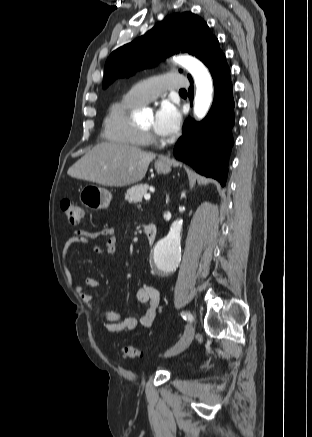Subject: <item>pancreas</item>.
Wrapping results in <instances>:
<instances>
[{
    "label": "pancreas",
    "instance_id": "1",
    "mask_svg": "<svg viewBox=\"0 0 312 437\" xmlns=\"http://www.w3.org/2000/svg\"><path fill=\"white\" fill-rule=\"evenodd\" d=\"M148 187V184H139L131 187L125 194V200L130 204L141 202L143 196L148 191Z\"/></svg>",
    "mask_w": 312,
    "mask_h": 437
}]
</instances>
